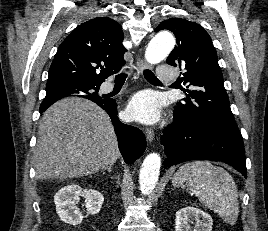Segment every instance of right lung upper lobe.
Returning a JSON list of instances; mask_svg holds the SVG:
<instances>
[{"instance_id": "1", "label": "right lung upper lobe", "mask_w": 268, "mask_h": 231, "mask_svg": "<svg viewBox=\"0 0 268 231\" xmlns=\"http://www.w3.org/2000/svg\"><path fill=\"white\" fill-rule=\"evenodd\" d=\"M122 27L99 17L82 23L61 43L49 69L48 83L79 81L100 86L125 65ZM55 100L43 101L45 111Z\"/></svg>"}]
</instances>
